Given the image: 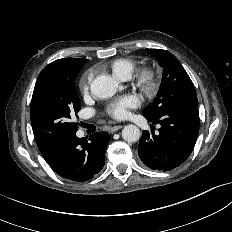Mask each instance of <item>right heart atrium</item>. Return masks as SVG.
Wrapping results in <instances>:
<instances>
[{
  "mask_svg": "<svg viewBox=\"0 0 232 232\" xmlns=\"http://www.w3.org/2000/svg\"><path fill=\"white\" fill-rule=\"evenodd\" d=\"M93 80V73L91 71L85 73L80 80V88L83 92L89 90L90 84Z\"/></svg>",
  "mask_w": 232,
  "mask_h": 232,
  "instance_id": "obj_1",
  "label": "right heart atrium"
}]
</instances>
